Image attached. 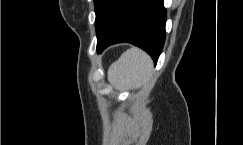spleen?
Segmentation results:
<instances>
[{
    "label": "spleen",
    "instance_id": "obj_1",
    "mask_svg": "<svg viewBox=\"0 0 243 145\" xmlns=\"http://www.w3.org/2000/svg\"><path fill=\"white\" fill-rule=\"evenodd\" d=\"M150 56L133 47L121 55L108 70V81L115 89L125 91L140 87L151 76Z\"/></svg>",
    "mask_w": 243,
    "mask_h": 145
}]
</instances>
